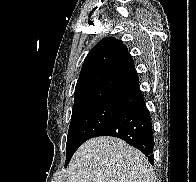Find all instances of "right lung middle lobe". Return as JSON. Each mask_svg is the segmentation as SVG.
Segmentation results:
<instances>
[{
    "mask_svg": "<svg viewBox=\"0 0 196 182\" xmlns=\"http://www.w3.org/2000/svg\"><path fill=\"white\" fill-rule=\"evenodd\" d=\"M132 108L131 105L99 101L73 109L66 143L65 166L79 146Z\"/></svg>",
    "mask_w": 196,
    "mask_h": 182,
    "instance_id": "right-lung-middle-lobe-1",
    "label": "right lung middle lobe"
}]
</instances>
